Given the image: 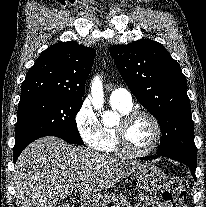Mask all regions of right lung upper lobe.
<instances>
[{"label":"right lung upper lobe","mask_w":206,"mask_h":207,"mask_svg":"<svg viewBox=\"0 0 206 207\" xmlns=\"http://www.w3.org/2000/svg\"><path fill=\"white\" fill-rule=\"evenodd\" d=\"M94 57L93 48L79 45L75 41L50 46L27 72L21 87L20 101L36 96L82 100Z\"/></svg>","instance_id":"obj_1"}]
</instances>
